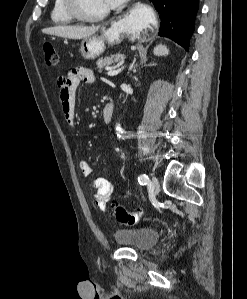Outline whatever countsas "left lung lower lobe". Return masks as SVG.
Instances as JSON below:
<instances>
[{"label": "left lung lower lobe", "instance_id": "1", "mask_svg": "<svg viewBox=\"0 0 247 299\" xmlns=\"http://www.w3.org/2000/svg\"><path fill=\"white\" fill-rule=\"evenodd\" d=\"M161 18L159 35L168 37L188 51L199 0H150Z\"/></svg>", "mask_w": 247, "mask_h": 299}]
</instances>
